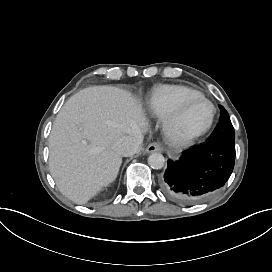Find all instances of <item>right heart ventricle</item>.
Wrapping results in <instances>:
<instances>
[{
	"label": "right heart ventricle",
	"mask_w": 272,
	"mask_h": 272,
	"mask_svg": "<svg viewBox=\"0 0 272 272\" xmlns=\"http://www.w3.org/2000/svg\"><path fill=\"white\" fill-rule=\"evenodd\" d=\"M197 94H199V92L196 89L185 86H160L152 94L149 101V106L150 109L156 114H168L174 111L181 100Z\"/></svg>",
	"instance_id": "right-heart-ventricle-1"
}]
</instances>
